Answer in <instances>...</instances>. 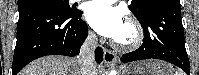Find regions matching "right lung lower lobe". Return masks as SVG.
Here are the masks:
<instances>
[{"instance_id":"obj_1","label":"right lung lower lobe","mask_w":199,"mask_h":75,"mask_svg":"<svg viewBox=\"0 0 199 75\" xmlns=\"http://www.w3.org/2000/svg\"><path fill=\"white\" fill-rule=\"evenodd\" d=\"M81 15L80 10H75L70 16L46 8L19 11L12 75L42 56L78 55L88 33ZM95 59L97 63L103 60V50L100 47L95 50Z\"/></svg>"}]
</instances>
